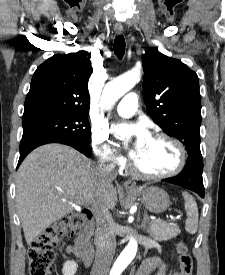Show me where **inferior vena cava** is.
Wrapping results in <instances>:
<instances>
[{
    "label": "inferior vena cava",
    "mask_w": 225,
    "mask_h": 275,
    "mask_svg": "<svg viewBox=\"0 0 225 275\" xmlns=\"http://www.w3.org/2000/svg\"><path fill=\"white\" fill-rule=\"evenodd\" d=\"M113 164H101L100 173L105 182L110 183L114 178ZM96 211V256L91 275H108L115 253L116 238L113 231V218L103 205L95 204Z\"/></svg>",
    "instance_id": "obj_1"
}]
</instances>
